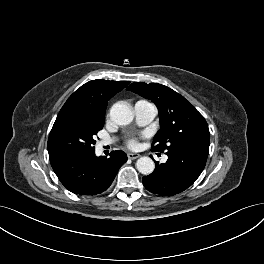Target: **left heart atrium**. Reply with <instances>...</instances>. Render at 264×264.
Segmentation results:
<instances>
[{"instance_id":"obj_1","label":"left heart atrium","mask_w":264,"mask_h":264,"mask_svg":"<svg viewBox=\"0 0 264 264\" xmlns=\"http://www.w3.org/2000/svg\"><path fill=\"white\" fill-rule=\"evenodd\" d=\"M127 145L130 147V148H136L138 143H137V140L135 138H131L127 141Z\"/></svg>"}]
</instances>
